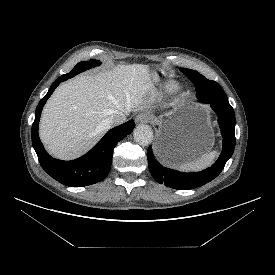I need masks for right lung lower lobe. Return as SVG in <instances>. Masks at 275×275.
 Returning a JSON list of instances; mask_svg holds the SVG:
<instances>
[{"label":"right lung lower lobe","mask_w":275,"mask_h":275,"mask_svg":"<svg viewBox=\"0 0 275 275\" xmlns=\"http://www.w3.org/2000/svg\"><path fill=\"white\" fill-rule=\"evenodd\" d=\"M70 76H60L53 82L48 93L40 100L32 125V144L43 169L58 182L70 187H83L102 181L109 173L113 150L116 144L132 132L134 121L130 120L109 130L106 135L84 156L73 161H61L52 158L39 139L38 125L42 108L54 89Z\"/></svg>","instance_id":"right-lung-lower-lobe-1"}]
</instances>
